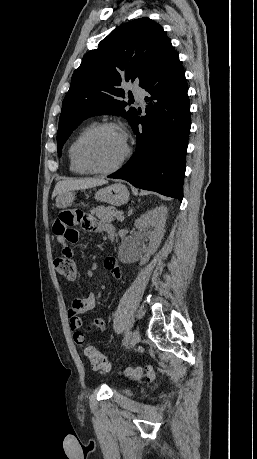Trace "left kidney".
Wrapping results in <instances>:
<instances>
[{
  "label": "left kidney",
  "instance_id": "obj_1",
  "mask_svg": "<svg viewBox=\"0 0 257 459\" xmlns=\"http://www.w3.org/2000/svg\"><path fill=\"white\" fill-rule=\"evenodd\" d=\"M167 208L160 206L148 210L135 221V227L138 230L137 239L146 236L149 244L143 249H138L145 256L141 258V264H145L150 255L156 252L165 233V224L167 219Z\"/></svg>",
  "mask_w": 257,
  "mask_h": 459
}]
</instances>
